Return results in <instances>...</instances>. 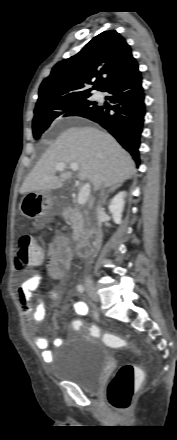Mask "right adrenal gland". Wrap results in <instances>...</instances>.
Returning <instances> with one entry per match:
<instances>
[{
    "mask_svg": "<svg viewBox=\"0 0 177 440\" xmlns=\"http://www.w3.org/2000/svg\"><path fill=\"white\" fill-rule=\"evenodd\" d=\"M122 182H120V183H117L116 185H114V186H112L108 191H107V193H106V196H105V198H104V201L106 200V198L108 197V194L110 193V192H114L116 189H118L120 186H122Z\"/></svg>",
    "mask_w": 177,
    "mask_h": 440,
    "instance_id": "obj_1",
    "label": "right adrenal gland"
}]
</instances>
